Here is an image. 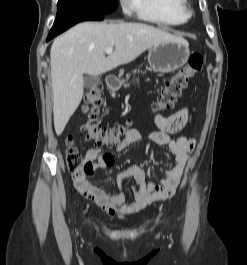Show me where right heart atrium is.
<instances>
[{
	"label": "right heart atrium",
	"mask_w": 247,
	"mask_h": 265,
	"mask_svg": "<svg viewBox=\"0 0 247 265\" xmlns=\"http://www.w3.org/2000/svg\"><path fill=\"white\" fill-rule=\"evenodd\" d=\"M120 5L125 13H130L135 8V0H120Z\"/></svg>",
	"instance_id": "d8ad5b80"
}]
</instances>
